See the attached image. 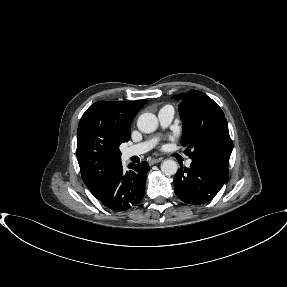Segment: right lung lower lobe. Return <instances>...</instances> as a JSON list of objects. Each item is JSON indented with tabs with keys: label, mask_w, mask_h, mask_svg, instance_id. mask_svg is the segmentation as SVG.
Segmentation results:
<instances>
[{
	"label": "right lung lower lobe",
	"mask_w": 287,
	"mask_h": 287,
	"mask_svg": "<svg viewBox=\"0 0 287 287\" xmlns=\"http://www.w3.org/2000/svg\"><path fill=\"white\" fill-rule=\"evenodd\" d=\"M125 171L120 164L109 170L91 193L108 209L120 212L138 204L145 192L147 162L129 164Z\"/></svg>",
	"instance_id": "1"
}]
</instances>
